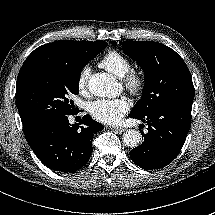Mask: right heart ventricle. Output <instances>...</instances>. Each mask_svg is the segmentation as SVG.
<instances>
[{"instance_id":"1","label":"right heart ventricle","mask_w":215,"mask_h":215,"mask_svg":"<svg viewBox=\"0 0 215 215\" xmlns=\"http://www.w3.org/2000/svg\"><path fill=\"white\" fill-rule=\"evenodd\" d=\"M100 66L111 74L122 78L131 68L129 59L117 50H110L101 58Z\"/></svg>"}]
</instances>
